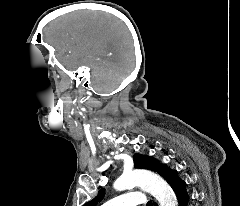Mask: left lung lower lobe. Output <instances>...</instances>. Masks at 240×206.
<instances>
[{
    "label": "left lung lower lobe",
    "mask_w": 240,
    "mask_h": 206,
    "mask_svg": "<svg viewBox=\"0 0 240 206\" xmlns=\"http://www.w3.org/2000/svg\"><path fill=\"white\" fill-rule=\"evenodd\" d=\"M170 184L174 192L176 193L179 206H186L188 202V195L186 192V184L178 176L177 172L171 169H167L163 176Z\"/></svg>",
    "instance_id": "1"
}]
</instances>
